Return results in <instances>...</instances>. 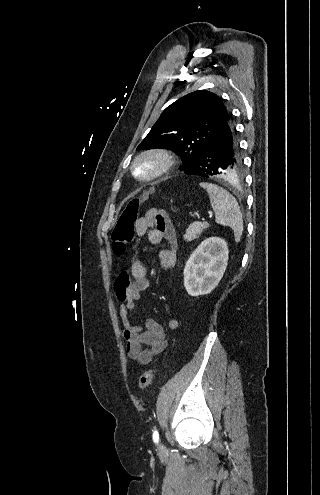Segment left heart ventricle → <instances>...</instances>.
<instances>
[{
  "label": "left heart ventricle",
  "mask_w": 320,
  "mask_h": 495,
  "mask_svg": "<svg viewBox=\"0 0 320 495\" xmlns=\"http://www.w3.org/2000/svg\"><path fill=\"white\" fill-rule=\"evenodd\" d=\"M151 167H152V165L150 163H145V164L141 165L140 169H141V171L146 172V171L150 170Z\"/></svg>",
  "instance_id": "left-heart-ventricle-1"
}]
</instances>
